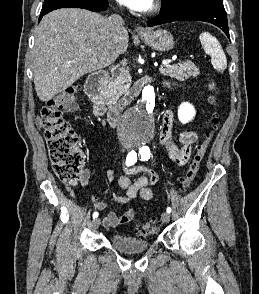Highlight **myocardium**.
I'll return each mask as SVG.
<instances>
[{
	"label": "myocardium",
	"mask_w": 259,
	"mask_h": 294,
	"mask_svg": "<svg viewBox=\"0 0 259 294\" xmlns=\"http://www.w3.org/2000/svg\"><path fill=\"white\" fill-rule=\"evenodd\" d=\"M161 8V0H153L150 7L147 9L146 14L151 15L158 12Z\"/></svg>",
	"instance_id": "obj_1"
}]
</instances>
